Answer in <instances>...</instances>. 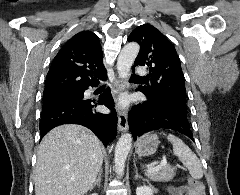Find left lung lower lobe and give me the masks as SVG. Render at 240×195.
Masks as SVG:
<instances>
[{
	"label": "left lung lower lobe",
	"mask_w": 240,
	"mask_h": 195,
	"mask_svg": "<svg viewBox=\"0 0 240 195\" xmlns=\"http://www.w3.org/2000/svg\"><path fill=\"white\" fill-rule=\"evenodd\" d=\"M128 124L134 140L146 132L164 128L187 135L193 140L187 120V110L175 104L144 101L132 107Z\"/></svg>",
	"instance_id": "0a47b994"
}]
</instances>
